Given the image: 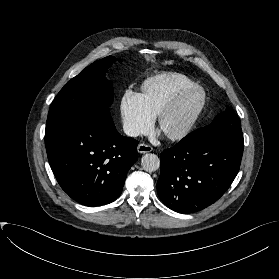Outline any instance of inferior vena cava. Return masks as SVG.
<instances>
[{
	"mask_svg": "<svg viewBox=\"0 0 279 279\" xmlns=\"http://www.w3.org/2000/svg\"><path fill=\"white\" fill-rule=\"evenodd\" d=\"M123 130L126 135L131 136V137H136L140 134L139 128H137L136 126H134L132 124H125L123 126Z\"/></svg>",
	"mask_w": 279,
	"mask_h": 279,
	"instance_id": "obj_1",
	"label": "inferior vena cava"
}]
</instances>
